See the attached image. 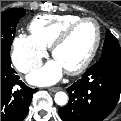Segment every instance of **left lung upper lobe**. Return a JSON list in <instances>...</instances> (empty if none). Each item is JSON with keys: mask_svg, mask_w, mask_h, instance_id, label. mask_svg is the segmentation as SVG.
Wrapping results in <instances>:
<instances>
[{"mask_svg": "<svg viewBox=\"0 0 121 121\" xmlns=\"http://www.w3.org/2000/svg\"><path fill=\"white\" fill-rule=\"evenodd\" d=\"M111 57H120L121 58V48L118 43V40L112 35V33L107 30L106 38L102 50V56L100 60Z\"/></svg>", "mask_w": 121, "mask_h": 121, "instance_id": "left-lung-upper-lobe-1", "label": "left lung upper lobe"}]
</instances>
